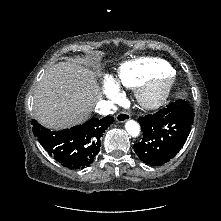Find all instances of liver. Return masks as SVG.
<instances>
[{
    "mask_svg": "<svg viewBox=\"0 0 221 221\" xmlns=\"http://www.w3.org/2000/svg\"><path fill=\"white\" fill-rule=\"evenodd\" d=\"M102 97L94 71L75 62H59L34 92L33 115L43 126L62 129L84 122Z\"/></svg>",
    "mask_w": 221,
    "mask_h": 221,
    "instance_id": "obj_1",
    "label": "liver"
}]
</instances>
